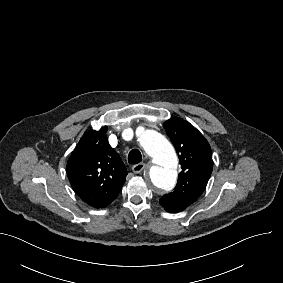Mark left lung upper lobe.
Masks as SVG:
<instances>
[{
  "label": "left lung upper lobe",
  "mask_w": 283,
  "mask_h": 283,
  "mask_svg": "<svg viewBox=\"0 0 283 283\" xmlns=\"http://www.w3.org/2000/svg\"><path fill=\"white\" fill-rule=\"evenodd\" d=\"M181 164L178 183L172 193L164 195L160 204L173 212H180L195 202L203 193L213 169L212 152L203 135L180 118L164 123Z\"/></svg>",
  "instance_id": "obj_1"
}]
</instances>
